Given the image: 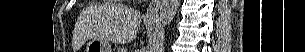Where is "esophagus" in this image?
Returning <instances> with one entry per match:
<instances>
[{"label": "esophagus", "mask_w": 305, "mask_h": 52, "mask_svg": "<svg viewBox=\"0 0 305 52\" xmlns=\"http://www.w3.org/2000/svg\"><path fill=\"white\" fill-rule=\"evenodd\" d=\"M160 3H161V0H152L151 1L150 5L147 9L146 15H145L146 20L154 21L158 17Z\"/></svg>", "instance_id": "obj_1"}]
</instances>
